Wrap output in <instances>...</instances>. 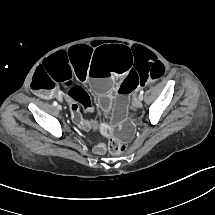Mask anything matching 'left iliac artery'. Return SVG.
<instances>
[{"label":"left iliac artery","mask_w":215,"mask_h":215,"mask_svg":"<svg viewBox=\"0 0 215 215\" xmlns=\"http://www.w3.org/2000/svg\"><path fill=\"white\" fill-rule=\"evenodd\" d=\"M143 93H144L143 91H140V94H142V95H143Z\"/></svg>","instance_id":"obj_1"}]
</instances>
